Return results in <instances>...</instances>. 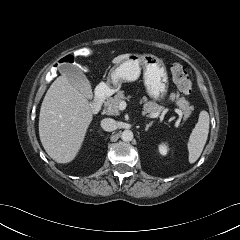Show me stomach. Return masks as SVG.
Instances as JSON below:
<instances>
[{"label": "stomach", "mask_w": 240, "mask_h": 240, "mask_svg": "<svg viewBox=\"0 0 240 240\" xmlns=\"http://www.w3.org/2000/svg\"><path fill=\"white\" fill-rule=\"evenodd\" d=\"M141 70L148 95L156 101L163 99L169 86L168 74L162 59L152 54H130L110 70L106 83L111 89L118 90L122 83L136 81Z\"/></svg>", "instance_id": "obj_1"}]
</instances>
